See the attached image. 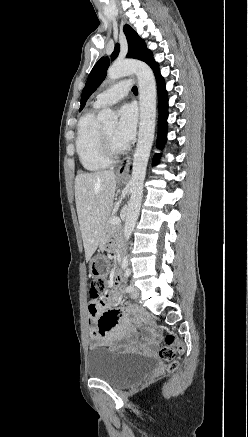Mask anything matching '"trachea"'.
Masks as SVG:
<instances>
[{
	"mask_svg": "<svg viewBox=\"0 0 248 437\" xmlns=\"http://www.w3.org/2000/svg\"><path fill=\"white\" fill-rule=\"evenodd\" d=\"M132 91H133V93L137 94V93H138V89H137V87H136V86H133Z\"/></svg>",
	"mask_w": 248,
	"mask_h": 437,
	"instance_id": "trachea-1",
	"label": "trachea"
}]
</instances>
